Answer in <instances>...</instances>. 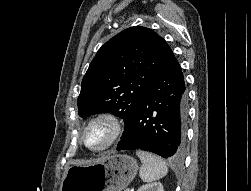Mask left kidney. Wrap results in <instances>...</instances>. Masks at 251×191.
I'll list each match as a JSON object with an SVG mask.
<instances>
[{
    "label": "left kidney",
    "mask_w": 251,
    "mask_h": 191,
    "mask_svg": "<svg viewBox=\"0 0 251 191\" xmlns=\"http://www.w3.org/2000/svg\"><path fill=\"white\" fill-rule=\"evenodd\" d=\"M137 191H164V189L160 181H152V183H145V185H141Z\"/></svg>",
    "instance_id": "1"
}]
</instances>
